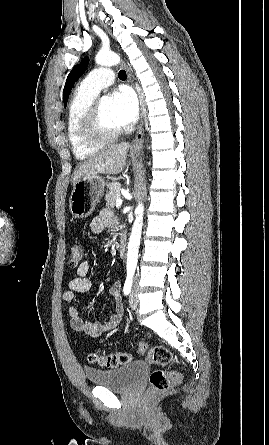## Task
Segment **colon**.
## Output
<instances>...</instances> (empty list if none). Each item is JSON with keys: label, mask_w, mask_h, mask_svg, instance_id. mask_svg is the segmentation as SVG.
<instances>
[{"label": "colon", "mask_w": 269, "mask_h": 445, "mask_svg": "<svg viewBox=\"0 0 269 445\" xmlns=\"http://www.w3.org/2000/svg\"><path fill=\"white\" fill-rule=\"evenodd\" d=\"M83 249L80 245H73L70 248V266L77 267L82 260ZM138 351L141 354H146L147 359L157 366L149 377V392L151 394H159L170 389L177 384L180 377L177 372L170 370L168 367L173 362V355L171 351L162 345H155L150 348L146 343L140 342L138 344ZM132 360V356L128 353H114L108 355H99L92 353L89 355V361L104 367H117L125 365Z\"/></svg>", "instance_id": "obj_1"}]
</instances>
